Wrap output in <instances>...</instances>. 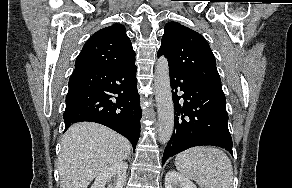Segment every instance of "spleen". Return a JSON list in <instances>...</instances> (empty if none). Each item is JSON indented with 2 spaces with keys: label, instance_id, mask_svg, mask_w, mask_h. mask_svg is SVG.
<instances>
[{
  "label": "spleen",
  "instance_id": "1",
  "mask_svg": "<svg viewBox=\"0 0 292 188\" xmlns=\"http://www.w3.org/2000/svg\"><path fill=\"white\" fill-rule=\"evenodd\" d=\"M177 170L201 188H232L233 168L229 157L209 146L190 148L175 158Z\"/></svg>",
  "mask_w": 292,
  "mask_h": 188
}]
</instances>
